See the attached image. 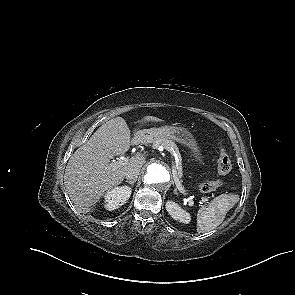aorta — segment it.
Instances as JSON below:
<instances>
[{
    "label": "aorta",
    "mask_w": 295,
    "mask_h": 295,
    "mask_svg": "<svg viewBox=\"0 0 295 295\" xmlns=\"http://www.w3.org/2000/svg\"><path fill=\"white\" fill-rule=\"evenodd\" d=\"M170 181L168 169L160 163H151L147 166L144 182L148 187L155 188L167 185Z\"/></svg>",
    "instance_id": "obj_1"
}]
</instances>
